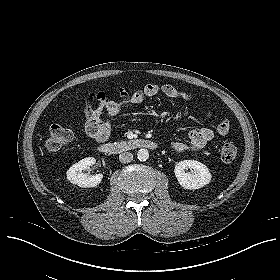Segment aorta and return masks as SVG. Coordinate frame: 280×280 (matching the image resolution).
<instances>
[{
  "instance_id": "obj_1",
  "label": "aorta",
  "mask_w": 280,
  "mask_h": 280,
  "mask_svg": "<svg viewBox=\"0 0 280 280\" xmlns=\"http://www.w3.org/2000/svg\"><path fill=\"white\" fill-rule=\"evenodd\" d=\"M137 158L139 161H146L149 158V152L147 149H140L137 152Z\"/></svg>"
}]
</instances>
